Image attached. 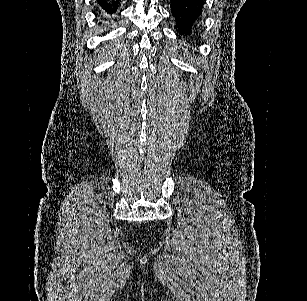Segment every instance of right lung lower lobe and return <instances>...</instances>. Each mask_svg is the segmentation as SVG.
I'll return each mask as SVG.
<instances>
[{
	"mask_svg": "<svg viewBox=\"0 0 307 301\" xmlns=\"http://www.w3.org/2000/svg\"><path fill=\"white\" fill-rule=\"evenodd\" d=\"M97 4L103 15H112L117 10L118 2H113V0H97Z\"/></svg>",
	"mask_w": 307,
	"mask_h": 301,
	"instance_id": "98d812e1",
	"label": "right lung lower lobe"
}]
</instances>
